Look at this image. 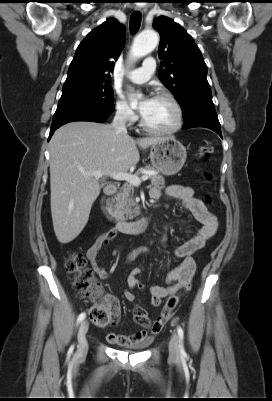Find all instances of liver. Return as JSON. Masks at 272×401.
<instances>
[{
  "instance_id": "liver-1",
  "label": "liver",
  "mask_w": 272,
  "mask_h": 401,
  "mask_svg": "<svg viewBox=\"0 0 272 401\" xmlns=\"http://www.w3.org/2000/svg\"><path fill=\"white\" fill-rule=\"evenodd\" d=\"M160 137L133 139L117 134L112 126L89 121L60 127L50 141L51 215L60 243L74 240L88 222L93 202L100 194L98 178L82 172L101 171L104 176L135 167L140 155Z\"/></svg>"
}]
</instances>
